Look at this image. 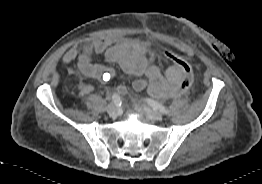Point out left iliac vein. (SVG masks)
<instances>
[{
    "label": "left iliac vein",
    "mask_w": 262,
    "mask_h": 184,
    "mask_svg": "<svg viewBox=\"0 0 262 184\" xmlns=\"http://www.w3.org/2000/svg\"><path fill=\"white\" fill-rule=\"evenodd\" d=\"M146 114L149 116V118L153 121H161L163 118V115L159 112H156L150 108H145Z\"/></svg>",
    "instance_id": "4c4485c4"
}]
</instances>
